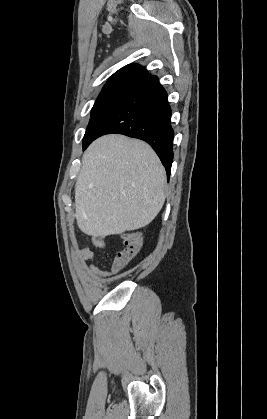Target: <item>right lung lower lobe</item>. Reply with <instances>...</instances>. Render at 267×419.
Returning <instances> with one entry per match:
<instances>
[{"mask_svg": "<svg viewBox=\"0 0 267 419\" xmlns=\"http://www.w3.org/2000/svg\"><path fill=\"white\" fill-rule=\"evenodd\" d=\"M170 119L171 108L167 93L158 78L152 76L130 92L104 117L95 129L90 143L102 135L111 133L141 139L157 153L169 180L174 137Z\"/></svg>", "mask_w": 267, "mask_h": 419, "instance_id": "obj_1", "label": "right lung lower lobe"}]
</instances>
